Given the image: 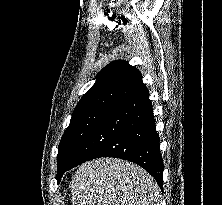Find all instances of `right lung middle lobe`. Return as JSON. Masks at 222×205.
Here are the masks:
<instances>
[{
	"label": "right lung middle lobe",
	"instance_id": "right-lung-middle-lobe-1",
	"mask_svg": "<svg viewBox=\"0 0 222 205\" xmlns=\"http://www.w3.org/2000/svg\"><path fill=\"white\" fill-rule=\"evenodd\" d=\"M109 110H94L72 116L58 147L57 181L71 164L77 151Z\"/></svg>",
	"mask_w": 222,
	"mask_h": 205
}]
</instances>
